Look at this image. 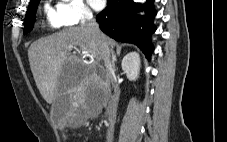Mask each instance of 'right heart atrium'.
I'll use <instances>...</instances> for the list:
<instances>
[{
    "mask_svg": "<svg viewBox=\"0 0 227 142\" xmlns=\"http://www.w3.org/2000/svg\"><path fill=\"white\" fill-rule=\"evenodd\" d=\"M57 16L65 26L85 24L93 18V13L83 0H61L56 6Z\"/></svg>",
    "mask_w": 227,
    "mask_h": 142,
    "instance_id": "right-heart-atrium-1",
    "label": "right heart atrium"
}]
</instances>
